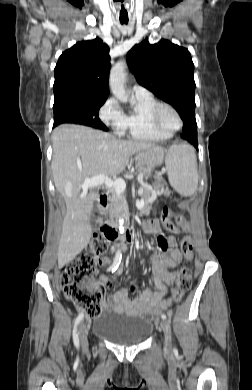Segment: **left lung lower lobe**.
<instances>
[{
    "mask_svg": "<svg viewBox=\"0 0 252 390\" xmlns=\"http://www.w3.org/2000/svg\"><path fill=\"white\" fill-rule=\"evenodd\" d=\"M183 133L181 137L183 139L188 140L190 143H192L195 148L198 150V142H197V124L196 120L194 118H189L183 120Z\"/></svg>",
    "mask_w": 252,
    "mask_h": 390,
    "instance_id": "1",
    "label": "left lung lower lobe"
}]
</instances>
